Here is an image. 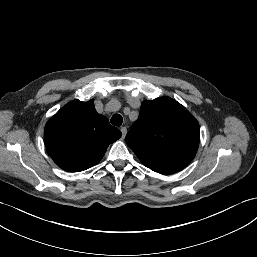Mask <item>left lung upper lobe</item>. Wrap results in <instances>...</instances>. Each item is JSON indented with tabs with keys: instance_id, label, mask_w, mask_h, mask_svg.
Instances as JSON below:
<instances>
[{
	"instance_id": "obj_1",
	"label": "left lung upper lobe",
	"mask_w": 257,
	"mask_h": 257,
	"mask_svg": "<svg viewBox=\"0 0 257 257\" xmlns=\"http://www.w3.org/2000/svg\"><path fill=\"white\" fill-rule=\"evenodd\" d=\"M199 141L197 120L168 97L143 101L139 118L126 135V143L140 161L161 174L186 167L195 157Z\"/></svg>"
}]
</instances>
